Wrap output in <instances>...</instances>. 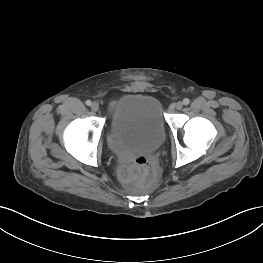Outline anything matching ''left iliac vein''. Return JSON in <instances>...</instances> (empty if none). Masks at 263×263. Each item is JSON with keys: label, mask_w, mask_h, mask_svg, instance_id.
Returning a JSON list of instances; mask_svg holds the SVG:
<instances>
[{"label": "left iliac vein", "mask_w": 263, "mask_h": 263, "mask_svg": "<svg viewBox=\"0 0 263 263\" xmlns=\"http://www.w3.org/2000/svg\"><path fill=\"white\" fill-rule=\"evenodd\" d=\"M175 107H176L177 110H181L183 108V103L181 101H179V102L176 103Z\"/></svg>", "instance_id": "1"}]
</instances>
